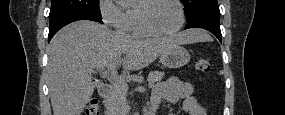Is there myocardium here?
<instances>
[{"label":"myocardium","mask_w":285,"mask_h":115,"mask_svg":"<svg viewBox=\"0 0 285 115\" xmlns=\"http://www.w3.org/2000/svg\"><path fill=\"white\" fill-rule=\"evenodd\" d=\"M157 1H161V0H144L143 3L141 5H139L138 7V13H139V20L140 23L143 27V29L151 36H157V37H168V36H173L175 34H177L182 27L184 26L185 23V10L183 7V4L181 1L179 0H167V1H171L172 3H174L177 8H178V13H179V23L177 28H175L172 31H168V32H161L158 31L156 29H154L147 21L146 16L144 14V11L150 7L151 4H153L154 2Z\"/></svg>","instance_id":"f54148a6"}]
</instances>
